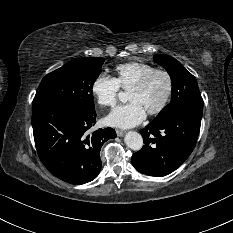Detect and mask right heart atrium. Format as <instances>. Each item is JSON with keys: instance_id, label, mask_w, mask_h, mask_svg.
Wrapping results in <instances>:
<instances>
[{"instance_id": "d8ad5b80", "label": "right heart atrium", "mask_w": 233, "mask_h": 233, "mask_svg": "<svg viewBox=\"0 0 233 233\" xmlns=\"http://www.w3.org/2000/svg\"><path fill=\"white\" fill-rule=\"evenodd\" d=\"M119 90L116 80L105 73L98 74L91 83V92L102 107L113 106L117 101Z\"/></svg>"}]
</instances>
